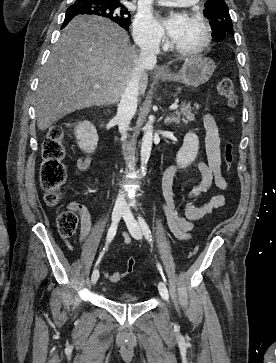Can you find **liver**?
Segmentation results:
<instances>
[{"label":"liver","instance_id":"1","mask_svg":"<svg viewBox=\"0 0 276 363\" xmlns=\"http://www.w3.org/2000/svg\"><path fill=\"white\" fill-rule=\"evenodd\" d=\"M138 58L127 32L117 24L98 16L75 17L63 29L39 75L35 106L38 129L44 131L77 110L117 103ZM94 84L101 88L94 89ZM147 84L144 70L140 94Z\"/></svg>","mask_w":276,"mask_h":363}]
</instances>
